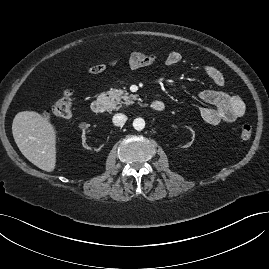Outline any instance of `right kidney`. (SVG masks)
<instances>
[{"instance_id":"right-kidney-1","label":"right kidney","mask_w":269,"mask_h":269,"mask_svg":"<svg viewBox=\"0 0 269 269\" xmlns=\"http://www.w3.org/2000/svg\"><path fill=\"white\" fill-rule=\"evenodd\" d=\"M79 127L83 130L82 134V142L83 146L87 148L88 150L92 151L93 153L98 152L100 149H102L105 145L102 142H90L86 141L85 138V131L90 127V124L87 123H81Z\"/></svg>"}]
</instances>
